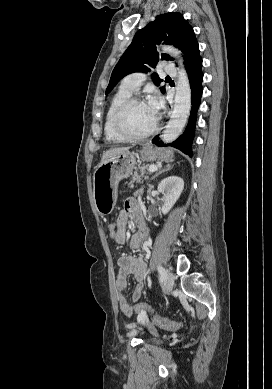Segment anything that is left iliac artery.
I'll return each instance as SVG.
<instances>
[{"label":"left iliac artery","mask_w":272,"mask_h":389,"mask_svg":"<svg viewBox=\"0 0 272 389\" xmlns=\"http://www.w3.org/2000/svg\"><path fill=\"white\" fill-rule=\"evenodd\" d=\"M157 270L159 272L160 282L163 283L166 279V271L161 265L157 266Z\"/></svg>","instance_id":"obj_1"}]
</instances>
